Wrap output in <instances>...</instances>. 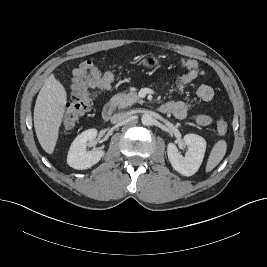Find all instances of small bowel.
<instances>
[{
  "label": "small bowel",
  "mask_w": 267,
  "mask_h": 267,
  "mask_svg": "<svg viewBox=\"0 0 267 267\" xmlns=\"http://www.w3.org/2000/svg\"><path fill=\"white\" fill-rule=\"evenodd\" d=\"M200 74L199 70H189L184 73L177 84L178 92L182 93L185 86L195 80ZM101 77V73L94 63L90 60L83 61L72 73L71 92L74 93L78 89L93 88ZM196 95L199 100L209 102L214 97V90L207 84L198 86ZM168 107V113H172L179 119H184L188 116L192 105L183 101H170L165 103ZM195 121L202 126H207L212 123V118L206 114H200L194 117Z\"/></svg>",
  "instance_id": "c3829d8e"
}]
</instances>
